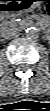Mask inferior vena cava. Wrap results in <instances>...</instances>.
Masks as SVG:
<instances>
[{
    "label": "inferior vena cava",
    "instance_id": "1",
    "mask_svg": "<svg viewBox=\"0 0 50 111\" xmlns=\"http://www.w3.org/2000/svg\"><path fill=\"white\" fill-rule=\"evenodd\" d=\"M20 33L18 31H9L6 33L5 37L6 39L15 38L18 37Z\"/></svg>",
    "mask_w": 50,
    "mask_h": 111
}]
</instances>
